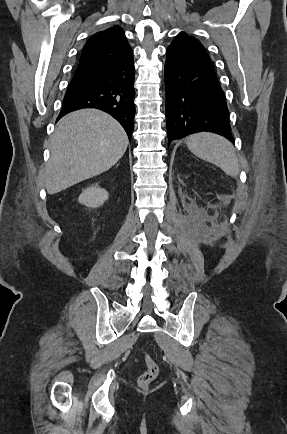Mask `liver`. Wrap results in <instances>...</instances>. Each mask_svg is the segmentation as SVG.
Wrapping results in <instances>:
<instances>
[{"instance_id": "1", "label": "liver", "mask_w": 287, "mask_h": 434, "mask_svg": "<svg viewBox=\"0 0 287 434\" xmlns=\"http://www.w3.org/2000/svg\"><path fill=\"white\" fill-rule=\"evenodd\" d=\"M128 143L122 126L103 111L82 109L67 114L51 138L44 171L47 193H59L109 170L124 155Z\"/></svg>"}]
</instances>
